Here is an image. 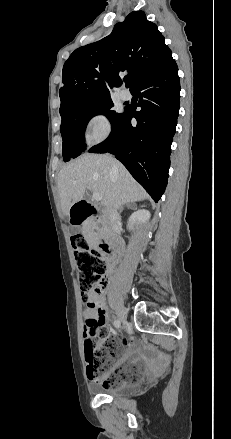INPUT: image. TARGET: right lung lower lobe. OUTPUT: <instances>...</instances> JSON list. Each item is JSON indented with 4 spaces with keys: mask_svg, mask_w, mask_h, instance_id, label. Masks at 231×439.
Wrapping results in <instances>:
<instances>
[{
    "mask_svg": "<svg viewBox=\"0 0 231 439\" xmlns=\"http://www.w3.org/2000/svg\"><path fill=\"white\" fill-rule=\"evenodd\" d=\"M130 91L139 98L141 111L126 107L109 137L89 152L114 154L157 202L167 185L180 108L178 67L172 56ZM133 117L137 120L135 126L131 124Z\"/></svg>",
    "mask_w": 231,
    "mask_h": 439,
    "instance_id": "1",
    "label": "right lung lower lobe"
}]
</instances>
